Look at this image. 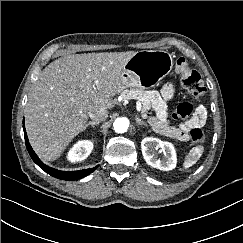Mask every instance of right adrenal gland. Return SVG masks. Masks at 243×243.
Returning a JSON list of instances; mask_svg holds the SVG:
<instances>
[{"instance_id":"2a0ac1e0","label":"right adrenal gland","mask_w":243,"mask_h":243,"mask_svg":"<svg viewBox=\"0 0 243 243\" xmlns=\"http://www.w3.org/2000/svg\"><path fill=\"white\" fill-rule=\"evenodd\" d=\"M99 122H96V121H90L88 122L85 127H84V130H86L88 128V126H92V127H95L96 125H98Z\"/></svg>"}]
</instances>
